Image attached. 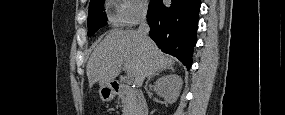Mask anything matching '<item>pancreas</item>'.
Wrapping results in <instances>:
<instances>
[{"label": "pancreas", "instance_id": "obj_1", "mask_svg": "<svg viewBox=\"0 0 285 115\" xmlns=\"http://www.w3.org/2000/svg\"><path fill=\"white\" fill-rule=\"evenodd\" d=\"M136 102V93L133 90H128L122 96L123 114L129 115L132 112Z\"/></svg>", "mask_w": 285, "mask_h": 115}]
</instances>
